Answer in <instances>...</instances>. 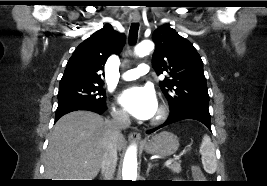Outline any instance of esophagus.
Here are the masks:
<instances>
[{
  "label": "esophagus",
  "instance_id": "obj_1",
  "mask_svg": "<svg viewBox=\"0 0 267 186\" xmlns=\"http://www.w3.org/2000/svg\"><path fill=\"white\" fill-rule=\"evenodd\" d=\"M133 21L134 22H139L140 21V15H134L133 16ZM129 140L131 141H135V142H141V135L138 132H131L128 135Z\"/></svg>",
  "mask_w": 267,
  "mask_h": 186
}]
</instances>
